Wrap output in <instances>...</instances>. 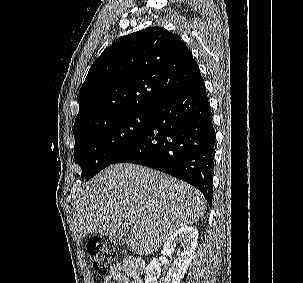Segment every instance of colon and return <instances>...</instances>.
I'll list each match as a JSON object with an SVG mask.
<instances>
[{
    "mask_svg": "<svg viewBox=\"0 0 303 283\" xmlns=\"http://www.w3.org/2000/svg\"><path fill=\"white\" fill-rule=\"evenodd\" d=\"M93 269L101 275H105L111 264L117 259L118 254L114 246L103 242L98 238L90 239L86 245Z\"/></svg>",
    "mask_w": 303,
    "mask_h": 283,
    "instance_id": "obj_1",
    "label": "colon"
}]
</instances>
